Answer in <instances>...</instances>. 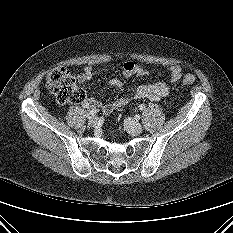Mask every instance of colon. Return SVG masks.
<instances>
[{"instance_id":"obj_1","label":"colon","mask_w":233,"mask_h":233,"mask_svg":"<svg viewBox=\"0 0 233 233\" xmlns=\"http://www.w3.org/2000/svg\"><path fill=\"white\" fill-rule=\"evenodd\" d=\"M195 81L193 75L183 77V84L191 85ZM47 88L62 104H78L84 101L85 93L77 86L76 79L65 68H55L46 77Z\"/></svg>"}]
</instances>
